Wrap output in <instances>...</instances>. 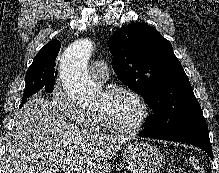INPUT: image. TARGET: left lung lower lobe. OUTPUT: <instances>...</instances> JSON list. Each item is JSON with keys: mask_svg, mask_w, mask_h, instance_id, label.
Returning a JSON list of instances; mask_svg holds the SVG:
<instances>
[{"mask_svg": "<svg viewBox=\"0 0 219 173\" xmlns=\"http://www.w3.org/2000/svg\"><path fill=\"white\" fill-rule=\"evenodd\" d=\"M139 136L192 144L204 150L211 159H213L209 132L206 124L192 125L161 135L141 132Z\"/></svg>", "mask_w": 219, "mask_h": 173, "instance_id": "0a47b994", "label": "left lung lower lobe"}]
</instances>
